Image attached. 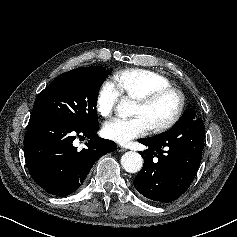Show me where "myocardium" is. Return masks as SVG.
<instances>
[{"mask_svg":"<svg viewBox=\"0 0 237 237\" xmlns=\"http://www.w3.org/2000/svg\"><path fill=\"white\" fill-rule=\"evenodd\" d=\"M166 95H175L177 98V107L173 115L167 119L166 121L153 125L150 127V131L153 134H159L162 132H165L172 128L181 118L184 108H185V96L183 92L177 88L174 87H165V88H158L155 89L139 98H137V102L145 105L150 106L154 104L157 100L160 98L166 96Z\"/></svg>","mask_w":237,"mask_h":237,"instance_id":"f54148a6","label":"myocardium"}]
</instances>
